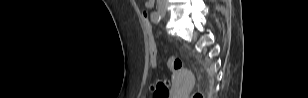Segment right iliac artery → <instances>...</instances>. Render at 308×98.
<instances>
[{"instance_id":"1","label":"right iliac artery","mask_w":308,"mask_h":98,"mask_svg":"<svg viewBox=\"0 0 308 98\" xmlns=\"http://www.w3.org/2000/svg\"><path fill=\"white\" fill-rule=\"evenodd\" d=\"M151 20H152V22H154V23H159L160 22V20H161V15H160V13L159 12H152V14H151Z\"/></svg>"}]
</instances>
